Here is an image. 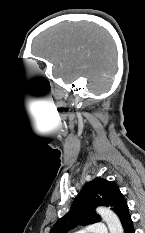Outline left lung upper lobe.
Masks as SVG:
<instances>
[{
  "label": "left lung upper lobe",
  "instance_id": "obj_1",
  "mask_svg": "<svg viewBox=\"0 0 145 233\" xmlns=\"http://www.w3.org/2000/svg\"><path fill=\"white\" fill-rule=\"evenodd\" d=\"M98 205L111 207L123 228L131 220L126 199L119 187L105 179H94L84 185L71 210L57 221L50 233H66L78 224L99 222L101 218L94 211Z\"/></svg>",
  "mask_w": 145,
  "mask_h": 233
}]
</instances>
